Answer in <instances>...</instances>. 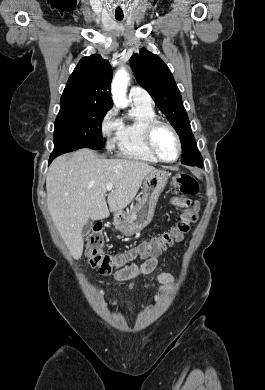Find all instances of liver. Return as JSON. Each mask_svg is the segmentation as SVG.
I'll use <instances>...</instances> for the list:
<instances>
[{
	"mask_svg": "<svg viewBox=\"0 0 265 390\" xmlns=\"http://www.w3.org/2000/svg\"><path fill=\"white\" fill-rule=\"evenodd\" d=\"M153 166L127 159H104L84 148L56 158L46 177L47 207L74 259L83 252L82 229L88 219L101 220L124 209L136 196ZM108 183L113 188L108 194Z\"/></svg>",
	"mask_w": 265,
	"mask_h": 390,
	"instance_id": "obj_1",
	"label": "liver"
}]
</instances>
